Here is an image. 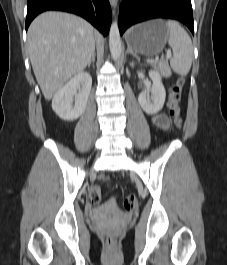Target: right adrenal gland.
Here are the masks:
<instances>
[{
  "label": "right adrenal gland",
  "instance_id": "right-adrenal-gland-1",
  "mask_svg": "<svg viewBox=\"0 0 227 265\" xmlns=\"http://www.w3.org/2000/svg\"><path fill=\"white\" fill-rule=\"evenodd\" d=\"M95 56H96V53L94 52L93 55H92V57H91L90 62H89L88 65H87L88 68L90 67V65H91L92 62H95Z\"/></svg>",
  "mask_w": 227,
  "mask_h": 265
}]
</instances>
